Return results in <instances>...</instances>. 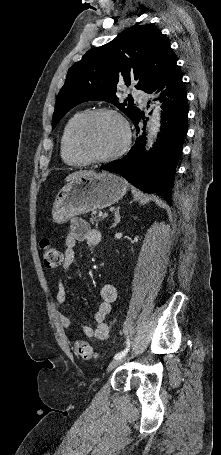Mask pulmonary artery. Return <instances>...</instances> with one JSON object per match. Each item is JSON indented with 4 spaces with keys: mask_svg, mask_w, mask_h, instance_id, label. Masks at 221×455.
I'll use <instances>...</instances> for the list:
<instances>
[{
    "mask_svg": "<svg viewBox=\"0 0 221 455\" xmlns=\"http://www.w3.org/2000/svg\"><path fill=\"white\" fill-rule=\"evenodd\" d=\"M131 94H132L133 96H135V97L142 96V92H141L139 89H135V88H133V89L131 90Z\"/></svg>",
    "mask_w": 221,
    "mask_h": 455,
    "instance_id": "obj_1",
    "label": "pulmonary artery"
}]
</instances>
